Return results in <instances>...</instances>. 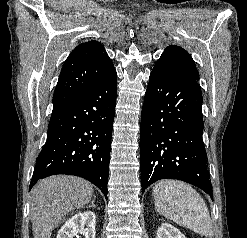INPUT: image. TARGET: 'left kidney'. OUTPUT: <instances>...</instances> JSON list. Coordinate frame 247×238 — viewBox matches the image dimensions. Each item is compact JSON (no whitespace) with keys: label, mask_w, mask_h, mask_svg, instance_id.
Returning <instances> with one entry per match:
<instances>
[{"label":"left kidney","mask_w":247,"mask_h":238,"mask_svg":"<svg viewBox=\"0 0 247 238\" xmlns=\"http://www.w3.org/2000/svg\"><path fill=\"white\" fill-rule=\"evenodd\" d=\"M156 238H186V237L171 224L163 223L157 230Z\"/></svg>","instance_id":"1"}]
</instances>
